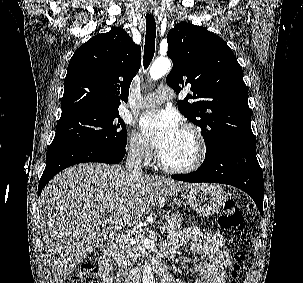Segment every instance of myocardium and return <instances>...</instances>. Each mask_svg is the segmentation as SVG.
Returning <instances> with one entry per match:
<instances>
[{
	"label": "myocardium",
	"mask_w": 303,
	"mask_h": 283,
	"mask_svg": "<svg viewBox=\"0 0 303 283\" xmlns=\"http://www.w3.org/2000/svg\"><path fill=\"white\" fill-rule=\"evenodd\" d=\"M181 130L189 133L195 141L196 154L194 159L186 165H172L165 161L160 152L158 155V164L165 171L177 174H187L196 171L202 166L207 154V145L201 130L194 124L186 123L181 127Z\"/></svg>",
	"instance_id": "obj_1"
}]
</instances>
